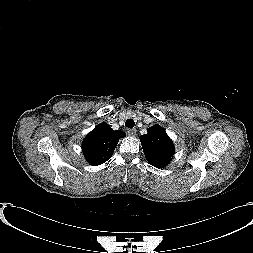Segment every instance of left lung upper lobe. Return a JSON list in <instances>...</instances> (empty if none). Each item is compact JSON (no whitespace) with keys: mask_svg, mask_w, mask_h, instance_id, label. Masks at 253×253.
Returning <instances> with one entry per match:
<instances>
[{"mask_svg":"<svg viewBox=\"0 0 253 253\" xmlns=\"http://www.w3.org/2000/svg\"><path fill=\"white\" fill-rule=\"evenodd\" d=\"M147 161L158 168L169 164L174 155V145L166 131L158 124L148 128L147 134L140 137Z\"/></svg>","mask_w":253,"mask_h":253,"instance_id":"obj_1","label":"left lung upper lobe"}]
</instances>
